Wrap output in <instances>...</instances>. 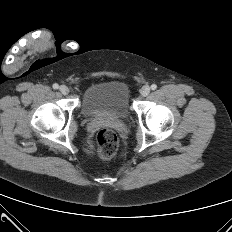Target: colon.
<instances>
[{
  "label": "colon",
  "instance_id": "colon-1",
  "mask_svg": "<svg viewBox=\"0 0 232 232\" xmlns=\"http://www.w3.org/2000/svg\"><path fill=\"white\" fill-rule=\"evenodd\" d=\"M98 152L102 158H111L118 149V137L116 133L109 128H102L98 131L96 137Z\"/></svg>",
  "mask_w": 232,
  "mask_h": 232
}]
</instances>
